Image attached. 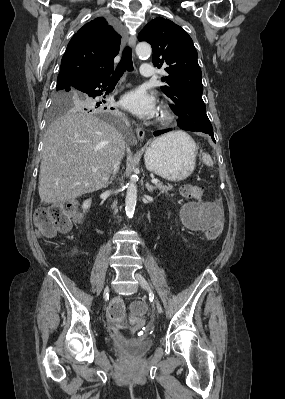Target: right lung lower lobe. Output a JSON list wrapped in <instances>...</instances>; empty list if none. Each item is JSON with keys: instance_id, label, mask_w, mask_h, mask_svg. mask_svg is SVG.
Returning <instances> with one entry per match:
<instances>
[{"instance_id": "98d812e1", "label": "right lung lower lobe", "mask_w": 285, "mask_h": 399, "mask_svg": "<svg viewBox=\"0 0 285 399\" xmlns=\"http://www.w3.org/2000/svg\"><path fill=\"white\" fill-rule=\"evenodd\" d=\"M108 74L86 75L73 84V88L88 94L91 97H97L105 90L109 82Z\"/></svg>"}]
</instances>
